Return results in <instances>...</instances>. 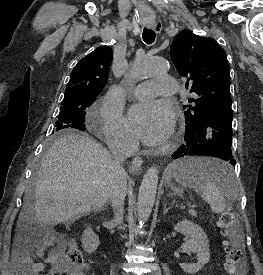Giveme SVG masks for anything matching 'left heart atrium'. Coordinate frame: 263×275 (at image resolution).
<instances>
[{
    "label": "left heart atrium",
    "mask_w": 263,
    "mask_h": 275,
    "mask_svg": "<svg viewBox=\"0 0 263 275\" xmlns=\"http://www.w3.org/2000/svg\"><path fill=\"white\" fill-rule=\"evenodd\" d=\"M128 125L138 139L156 146L170 138L174 129V115L163 101H143L130 108Z\"/></svg>",
    "instance_id": "39dd6f15"
}]
</instances>
